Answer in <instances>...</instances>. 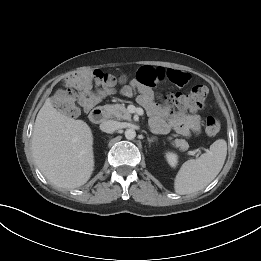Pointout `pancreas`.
<instances>
[{
    "instance_id": "obj_1",
    "label": "pancreas",
    "mask_w": 261,
    "mask_h": 261,
    "mask_svg": "<svg viewBox=\"0 0 261 261\" xmlns=\"http://www.w3.org/2000/svg\"><path fill=\"white\" fill-rule=\"evenodd\" d=\"M104 109L107 111L108 116L111 118H116L118 120H130L131 114L125 108L123 104H112V105H105ZM150 126L152 131L157 132L155 127L154 120H150ZM171 140V138H169ZM176 148H179L181 151H186L189 148V144L184 139H175L172 143Z\"/></svg>"
}]
</instances>
